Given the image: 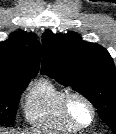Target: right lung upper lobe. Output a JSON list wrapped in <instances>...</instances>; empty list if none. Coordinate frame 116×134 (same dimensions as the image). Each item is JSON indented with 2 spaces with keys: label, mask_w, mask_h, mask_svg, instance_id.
<instances>
[{
  "label": "right lung upper lobe",
  "mask_w": 116,
  "mask_h": 134,
  "mask_svg": "<svg viewBox=\"0 0 116 134\" xmlns=\"http://www.w3.org/2000/svg\"><path fill=\"white\" fill-rule=\"evenodd\" d=\"M40 59L41 45L33 33L18 31L0 42V87H14L34 77Z\"/></svg>",
  "instance_id": "1"
}]
</instances>
